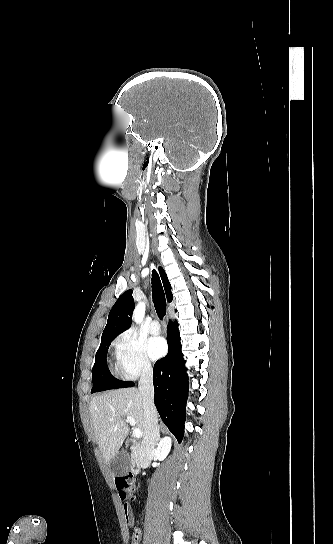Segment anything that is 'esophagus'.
Here are the masks:
<instances>
[{
  "instance_id": "34e87169",
  "label": "esophagus",
  "mask_w": 333,
  "mask_h": 544,
  "mask_svg": "<svg viewBox=\"0 0 333 544\" xmlns=\"http://www.w3.org/2000/svg\"><path fill=\"white\" fill-rule=\"evenodd\" d=\"M166 319H167V321H168V320H169V317H167Z\"/></svg>"
}]
</instances>
